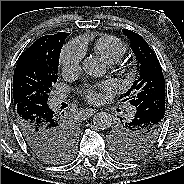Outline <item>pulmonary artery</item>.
<instances>
[{"instance_id":"1","label":"pulmonary artery","mask_w":184,"mask_h":184,"mask_svg":"<svg viewBox=\"0 0 184 184\" xmlns=\"http://www.w3.org/2000/svg\"><path fill=\"white\" fill-rule=\"evenodd\" d=\"M64 99H65V96H64L63 94H57V95H55L54 98H53V103H54L55 105H58V104H60L62 101H64ZM134 111H135V108H134L133 106L129 107V110H128L129 114H133Z\"/></svg>"}]
</instances>
